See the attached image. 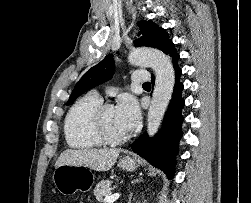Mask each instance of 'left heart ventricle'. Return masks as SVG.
I'll use <instances>...</instances> for the list:
<instances>
[{
    "label": "left heart ventricle",
    "mask_w": 251,
    "mask_h": 203,
    "mask_svg": "<svg viewBox=\"0 0 251 203\" xmlns=\"http://www.w3.org/2000/svg\"><path fill=\"white\" fill-rule=\"evenodd\" d=\"M104 123L107 131L112 136H123L127 133L119 123L114 107L106 110L104 114Z\"/></svg>",
    "instance_id": "1"
}]
</instances>
